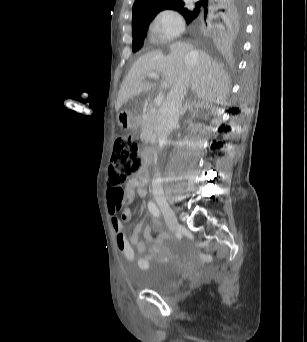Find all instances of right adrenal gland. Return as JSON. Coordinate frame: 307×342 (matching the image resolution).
Listing matches in <instances>:
<instances>
[{
	"label": "right adrenal gland",
	"instance_id": "2a0ac1e0",
	"mask_svg": "<svg viewBox=\"0 0 307 342\" xmlns=\"http://www.w3.org/2000/svg\"><path fill=\"white\" fill-rule=\"evenodd\" d=\"M191 106H193V108H201L202 104H200V102H196V100H194L193 104H191ZM186 110H188V106H184L181 114H185Z\"/></svg>",
	"mask_w": 307,
	"mask_h": 342
}]
</instances>
